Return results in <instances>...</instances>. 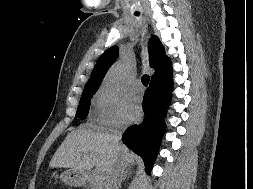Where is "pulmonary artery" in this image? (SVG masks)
<instances>
[{"mask_svg": "<svg viewBox=\"0 0 253 189\" xmlns=\"http://www.w3.org/2000/svg\"><path fill=\"white\" fill-rule=\"evenodd\" d=\"M133 87H134V89H136V90H140V89H141V83H140L139 81H135V82L133 83Z\"/></svg>", "mask_w": 253, "mask_h": 189, "instance_id": "e3ab8cb5", "label": "pulmonary artery"}]
</instances>
